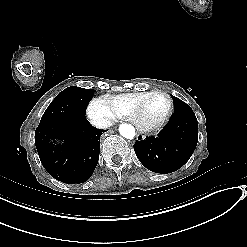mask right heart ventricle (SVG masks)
I'll return each mask as SVG.
<instances>
[{"instance_id":"obj_1","label":"right heart ventricle","mask_w":247,"mask_h":247,"mask_svg":"<svg viewBox=\"0 0 247 247\" xmlns=\"http://www.w3.org/2000/svg\"><path fill=\"white\" fill-rule=\"evenodd\" d=\"M150 91L120 95H104L101 99L111 108L113 118H130L138 102L143 100Z\"/></svg>"}]
</instances>
